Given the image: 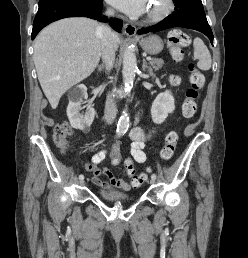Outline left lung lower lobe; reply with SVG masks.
I'll list each match as a JSON object with an SVG mask.
<instances>
[{
  "label": "left lung lower lobe",
  "instance_id": "1",
  "mask_svg": "<svg viewBox=\"0 0 248 258\" xmlns=\"http://www.w3.org/2000/svg\"><path fill=\"white\" fill-rule=\"evenodd\" d=\"M172 27H184L200 31L210 39L213 45V34L207 22L203 6L175 10L158 24L138 30V34L158 32Z\"/></svg>",
  "mask_w": 248,
  "mask_h": 258
}]
</instances>
